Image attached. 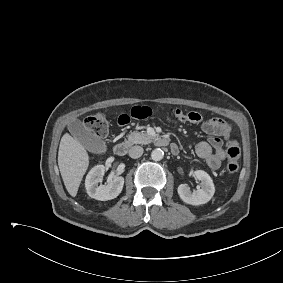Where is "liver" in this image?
<instances>
[{
	"label": "liver",
	"mask_w": 283,
	"mask_h": 283,
	"mask_svg": "<svg viewBox=\"0 0 283 283\" xmlns=\"http://www.w3.org/2000/svg\"><path fill=\"white\" fill-rule=\"evenodd\" d=\"M58 166L68 193L75 197L89 166V156L85 148L68 133L60 141Z\"/></svg>",
	"instance_id": "6515ba94"
}]
</instances>
